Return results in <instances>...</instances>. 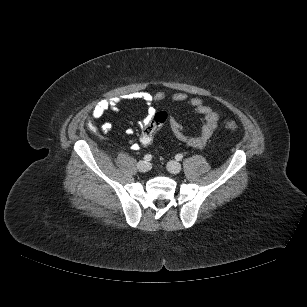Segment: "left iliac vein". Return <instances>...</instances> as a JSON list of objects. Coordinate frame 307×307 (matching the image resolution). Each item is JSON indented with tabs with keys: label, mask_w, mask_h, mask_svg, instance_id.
<instances>
[{
	"label": "left iliac vein",
	"mask_w": 307,
	"mask_h": 307,
	"mask_svg": "<svg viewBox=\"0 0 307 307\" xmlns=\"http://www.w3.org/2000/svg\"><path fill=\"white\" fill-rule=\"evenodd\" d=\"M181 169V164L177 161L172 160L167 163V170L172 174H178Z\"/></svg>",
	"instance_id": "1"
}]
</instances>
